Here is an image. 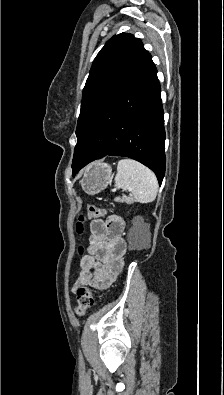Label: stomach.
I'll list each match as a JSON object with an SVG mask.
<instances>
[{"label":"stomach","instance_id":"1","mask_svg":"<svg viewBox=\"0 0 224 395\" xmlns=\"http://www.w3.org/2000/svg\"><path fill=\"white\" fill-rule=\"evenodd\" d=\"M112 168L107 163L94 162L85 168L80 184L85 193L95 195L111 181Z\"/></svg>","mask_w":224,"mask_h":395}]
</instances>
